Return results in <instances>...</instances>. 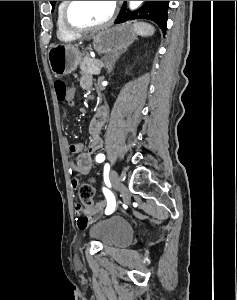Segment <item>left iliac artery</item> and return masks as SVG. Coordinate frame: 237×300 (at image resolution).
Wrapping results in <instances>:
<instances>
[{
	"label": "left iliac artery",
	"instance_id": "44dca946",
	"mask_svg": "<svg viewBox=\"0 0 237 300\" xmlns=\"http://www.w3.org/2000/svg\"><path fill=\"white\" fill-rule=\"evenodd\" d=\"M104 160H105L104 154H98V155L96 156V161H97L98 163H101V162H103ZM109 170H110V165H109L108 163H106V164H105V167H104V172H108V173H109ZM103 192H104V195H105V197H106V199H107V202H108L107 208H106V210H105V214H106V215H109V214H111V213L114 211V209H115V205H116V203H115V197H114V195H113L108 189H106V188H103Z\"/></svg>",
	"mask_w": 237,
	"mask_h": 300
}]
</instances>
